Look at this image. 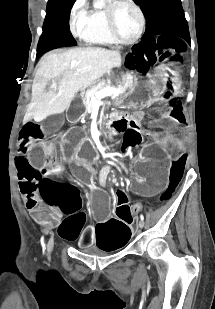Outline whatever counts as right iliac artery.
<instances>
[{
	"instance_id": "obj_1",
	"label": "right iliac artery",
	"mask_w": 215,
	"mask_h": 309,
	"mask_svg": "<svg viewBox=\"0 0 215 309\" xmlns=\"http://www.w3.org/2000/svg\"><path fill=\"white\" fill-rule=\"evenodd\" d=\"M41 244H42L43 250H45L44 236L41 237Z\"/></svg>"
}]
</instances>
